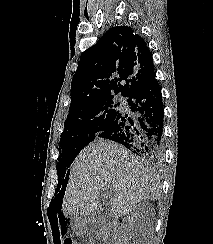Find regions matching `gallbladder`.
Returning a JSON list of instances; mask_svg holds the SVG:
<instances>
[{
	"label": "gallbladder",
	"mask_w": 213,
	"mask_h": 244,
	"mask_svg": "<svg viewBox=\"0 0 213 244\" xmlns=\"http://www.w3.org/2000/svg\"><path fill=\"white\" fill-rule=\"evenodd\" d=\"M98 220L102 225H109L111 223V217L107 209H100L98 211Z\"/></svg>",
	"instance_id": "gallbladder-1"
}]
</instances>
